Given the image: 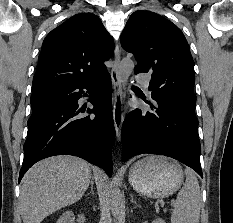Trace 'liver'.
Returning a JSON list of instances; mask_svg holds the SVG:
<instances>
[{
  "label": "liver",
  "mask_w": 233,
  "mask_h": 223,
  "mask_svg": "<svg viewBox=\"0 0 233 223\" xmlns=\"http://www.w3.org/2000/svg\"><path fill=\"white\" fill-rule=\"evenodd\" d=\"M91 175L89 163L73 155H55L32 165L19 195L23 223H41L49 213L78 201Z\"/></svg>",
  "instance_id": "obj_1"
}]
</instances>
